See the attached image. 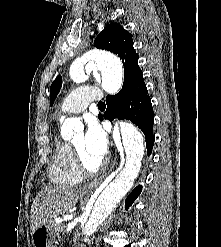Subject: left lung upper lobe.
I'll return each instance as SVG.
<instances>
[{
	"mask_svg": "<svg viewBox=\"0 0 221 247\" xmlns=\"http://www.w3.org/2000/svg\"><path fill=\"white\" fill-rule=\"evenodd\" d=\"M94 46L118 55L124 65V83L120 94L126 95L135 84L146 87L142 71L138 66V54L133 48L132 35L122 26L111 23L96 37ZM62 86V77L58 75L50 87L51 105Z\"/></svg>",
	"mask_w": 221,
	"mask_h": 247,
	"instance_id": "left-lung-upper-lobe-1",
	"label": "left lung upper lobe"
}]
</instances>
